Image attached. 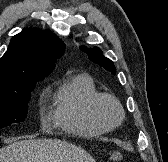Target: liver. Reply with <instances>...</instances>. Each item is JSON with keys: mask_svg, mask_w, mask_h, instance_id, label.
Listing matches in <instances>:
<instances>
[{"mask_svg": "<svg viewBox=\"0 0 168 162\" xmlns=\"http://www.w3.org/2000/svg\"><path fill=\"white\" fill-rule=\"evenodd\" d=\"M0 162H95L81 147L55 139H29L0 149Z\"/></svg>", "mask_w": 168, "mask_h": 162, "instance_id": "liver-1", "label": "liver"}]
</instances>
